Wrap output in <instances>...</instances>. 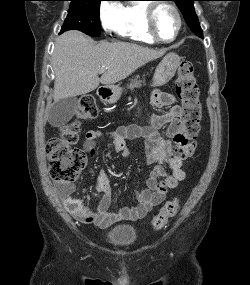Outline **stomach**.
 I'll list each match as a JSON object with an SVG mask.
<instances>
[{"label":"stomach","instance_id":"obj_1","mask_svg":"<svg viewBox=\"0 0 250 285\" xmlns=\"http://www.w3.org/2000/svg\"><path fill=\"white\" fill-rule=\"evenodd\" d=\"M179 64L180 57L175 53H168L155 70L152 86L160 87L167 84L174 77ZM108 91L105 100L108 103H116L121 97L122 88L113 86L108 88Z\"/></svg>","mask_w":250,"mask_h":285}]
</instances>
